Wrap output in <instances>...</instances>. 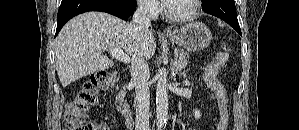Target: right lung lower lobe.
Returning a JSON list of instances; mask_svg holds the SVG:
<instances>
[{"label": "right lung lower lobe", "mask_w": 299, "mask_h": 130, "mask_svg": "<svg viewBox=\"0 0 299 130\" xmlns=\"http://www.w3.org/2000/svg\"><path fill=\"white\" fill-rule=\"evenodd\" d=\"M135 8V0H62L57 14L55 36L68 20L78 14L102 11L126 20L132 15Z\"/></svg>", "instance_id": "right-lung-lower-lobe-1"}]
</instances>
